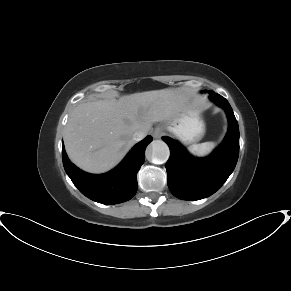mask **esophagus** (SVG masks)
Masks as SVG:
<instances>
[{
	"instance_id": "obj_1",
	"label": "esophagus",
	"mask_w": 291,
	"mask_h": 291,
	"mask_svg": "<svg viewBox=\"0 0 291 291\" xmlns=\"http://www.w3.org/2000/svg\"><path fill=\"white\" fill-rule=\"evenodd\" d=\"M164 134L161 128H157L153 131L152 136L156 139L160 138Z\"/></svg>"
}]
</instances>
